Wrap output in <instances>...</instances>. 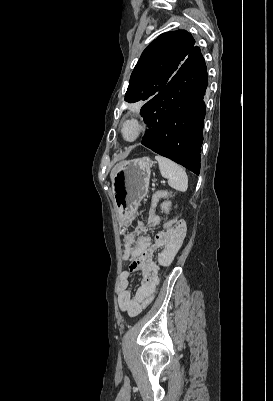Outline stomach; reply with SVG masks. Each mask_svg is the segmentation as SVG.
<instances>
[{"instance_id":"obj_1","label":"stomach","mask_w":273,"mask_h":401,"mask_svg":"<svg viewBox=\"0 0 273 401\" xmlns=\"http://www.w3.org/2000/svg\"><path fill=\"white\" fill-rule=\"evenodd\" d=\"M149 156L125 160L112 180V192L120 227H129L149 188L151 166Z\"/></svg>"}]
</instances>
